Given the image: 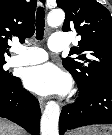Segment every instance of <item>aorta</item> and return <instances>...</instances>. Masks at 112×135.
Here are the masks:
<instances>
[{
    "label": "aorta",
    "mask_w": 112,
    "mask_h": 135,
    "mask_svg": "<svg viewBox=\"0 0 112 135\" xmlns=\"http://www.w3.org/2000/svg\"><path fill=\"white\" fill-rule=\"evenodd\" d=\"M65 19L62 10L56 9L49 13L47 22L50 27L60 26ZM60 116V107L55 101H50L45 106L41 117L40 131L41 135H58V123Z\"/></svg>",
    "instance_id": "aorta-1"
}]
</instances>
